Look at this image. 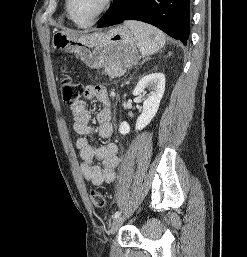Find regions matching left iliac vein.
<instances>
[{
	"instance_id": "obj_1",
	"label": "left iliac vein",
	"mask_w": 247,
	"mask_h": 257,
	"mask_svg": "<svg viewBox=\"0 0 247 257\" xmlns=\"http://www.w3.org/2000/svg\"><path fill=\"white\" fill-rule=\"evenodd\" d=\"M124 217H117L114 219V221L112 222L111 228H110V233L113 235L115 234L118 229L120 228V226L123 224L124 222Z\"/></svg>"
}]
</instances>
